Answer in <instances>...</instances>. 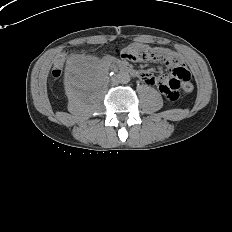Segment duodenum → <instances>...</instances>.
<instances>
[{
  "mask_svg": "<svg viewBox=\"0 0 232 232\" xmlns=\"http://www.w3.org/2000/svg\"><path fill=\"white\" fill-rule=\"evenodd\" d=\"M112 66H113L114 71L116 73H127V74L134 76V77L138 76L137 71L135 69L129 67L126 64L112 61Z\"/></svg>",
  "mask_w": 232,
  "mask_h": 232,
  "instance_id": "obj_1",
  "label": "duodenum"
}]
</instances>
